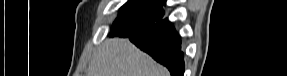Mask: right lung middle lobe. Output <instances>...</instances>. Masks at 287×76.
Returning <instances> with one entry per match:
<instances>
[{"instance_id":"dd1d6c3e","label":"right lung middle lobe","mask_w":287,"mask_h":76,"mask_svg":"<svg viewBox=\"0 0 287 76\" xmlns=\"http://www.w3.org/2000/svg\"><path fill=\"white\" fill-rule=\"evenodd\" d=\"M162 0H129L124 4L111 28V36L126 37L142 33L162 19Z\"/></svg>"}]
</instances>
